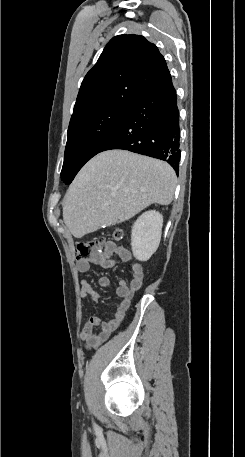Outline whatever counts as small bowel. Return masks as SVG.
Returning <instances> with one entry per match:
<instances>
[{
	"label": "small bowel",
	"instance_id": "c3829d8e",
	"mask_svg": "<svg viewBox=\"0 0 245 457\" xmlns=\"http://www.w3.org/2000/svg\"><path fill=\"white\" fill-rule=\"evenodd\" d=\"M117 256L121 262L129 263V270L131 273V280H120L117 288V295L120 297V302L117 305L112 317L108 320L102 319L98 315H91L86 321L80 337L88 348H94L105 342L110 335L119 327L124 320L130 302L141 285L144 278V270L141 265L132 262L131 253L122 246H117L114 242L108 241L100 254L92 257L89 260H81L77 264L80 272L89 270L91 264L103 268H111L116 262L112 256ZM99 284L101 287H108L110 280L107 276L100 279ZM82 296L93 302L100 299V295L93 289L91 283L83 279L80 282Z\"/></svg>",
	"mask_w": 245,
	"mask_h": 457
}]
</instances>
